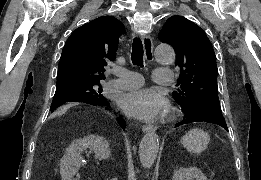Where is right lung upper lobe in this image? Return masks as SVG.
Here are the masks:
<instances>
[{"instance_id": "obj_1", "label": "right lung upper lobe", "mask_w": 261, "mask_h": 180, "mask_svg": "<svg viewBox=\"0 0 261 180\" xmlns=\"http://www.w3.org/2000/svg\"><path fill=\"white\" fill-rule=\"evenodd\" d=\"M123 24L111 16L99 17L77 28L67 39L59 63V82L104 79L107 60L115 59Z\"/></svg>"}]
</instances>
